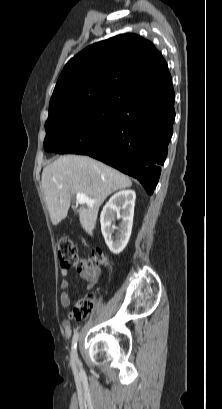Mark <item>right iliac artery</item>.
<instances>
[{"instance_id":"82829eb1","label":"right iliac artery","mask_w":222,"mask_h":409,"mask_svg":"<svg viewBox=\"0 0 222 409\" xmlns=\"http://www.w3.org/2000/svg\"><path fill=\"white\" fill-rule=\"evenodd\" d=\"M78 337H79V333L78 332L74 333L73 338H72V346H71V363L72 364H75L78 362V356H77V351H76Z\"/></svg>"}]
</instances>
